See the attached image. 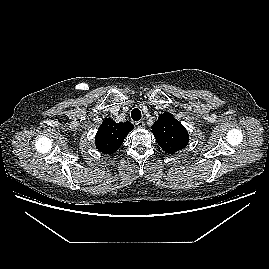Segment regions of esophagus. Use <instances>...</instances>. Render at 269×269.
<instances>
[{"mask_svg": "<svg viewBox=\"0 0 269 269\" xmlns=\"http://www.w3.org/2000/svg\"><path fill=\"white\" fill-rule=\"evenodd\" d=\"M135 125L138 127V128H144L145 127V123L143 121H137L135 123Z\"/></svg>", "mask_w": 269, "mask_h": 269, "instance_id": "34e87169", "label": "esophagus"}]
</instances>
